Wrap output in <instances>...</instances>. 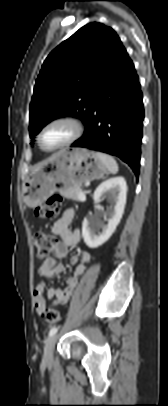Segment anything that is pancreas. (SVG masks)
<instances>
[{
  "label": "pancreas",
  "instance_id": "1",
  "mask_svg": "<svg viewBox=\"0 0 168 406\" xmlns=\"http://www.w3.org/2000/svg\"><path fill=\"white\" fill-rule=\"evenodd\" d=\"M81 192H82L81 186H78V187H75V188H72V189L63 190V191H61V194H62L64 197L68 198V199H72V200L78 201V202H84L86 199H85V200H82V199L79 197V194H80Z\"/></svg>",
  "mask_w": 168,
  "mask_h": 406
}]
</instances>
